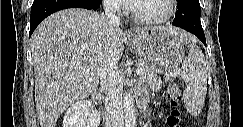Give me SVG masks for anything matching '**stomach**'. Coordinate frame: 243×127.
<instances>
[{"instance_id": "obj_1", "label": "stomach", "mask_w": 243, "mask_h": 127, "mask_svg": "<svg viewBox=\"0 0 243 127\" xmlns=\"http://www.w3.org/2000/svg\"><path fill=\"white\" fill-rule=\"evenodd\" d=\"M128 39L142 60L160 74L174 71L185 55L180 38L163 28H150Z\"/></svg>"}]
</instances>
